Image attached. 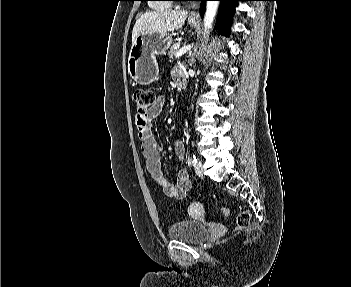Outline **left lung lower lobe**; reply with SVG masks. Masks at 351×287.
I'll use <instances>...</instances> for the list:
<instances>
[{"instance_id":"left-lung-lower-lobe-1","label":"left lung lower lobe","mask_w":351,"mask_h":287,"mask_svg":"<svg viewBox=\"0 0 351 287\" xmlns=\"http://www.w3.org/2000/svg\"><path fill=\"white\" fill-rule=\"evenodd\" d=\"M195 1L202 2L200 13L201 15H203L204 9H205L204 3L207 0H195ZM218 1H221L220 14H219V28H218L219 33H221L222 35H227L229 34V24L237 2L245 1V0H218Z\"/></svg>"}]
</instances>
